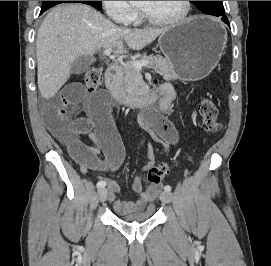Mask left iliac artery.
Wrapping results in <instances>:
<instances>
[{
	"label": "left iliac artery",
	"mask_w": 271,
	"mask_h": 266,
	"mask_svg": "<svg viewBox=\"0 0 271 266\" xmlns=\"http://www.w3.org/2000/svg\"><path fill=\"white\" fill-rule=\"evenodd\" d=\"M171 189H172V188H171L170 185H166V186L164 187V190L167 191V192H170Z\"/></svg>",
	"instance_id": "left-iliac-artery-1"
}]
</instances>
